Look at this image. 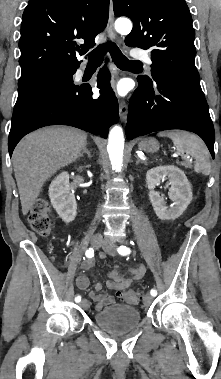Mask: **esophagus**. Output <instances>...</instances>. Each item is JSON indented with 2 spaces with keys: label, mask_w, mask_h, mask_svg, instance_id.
<instances>
[{
  "label": "esophagus",
  "mask_w": 221,
  "mask_h": 379,
  "mask_svg": "<svg viewBox=\"0 0 221 379\" xmlns=\"http://www.w3.org/2000/svg\"><path fill=\"white\" fill-rule=\"evenodd\" d=\"M107 32L109 36L113 39H116V33L114 30V11H113V2L110 0L109 4V17H108V24H107ZM128 113V105L125 100H120L119 103V115L121 121H125L127 118Z\"/></svg>",
  "instance_id": "esophagus-1"
}]
</instances>
